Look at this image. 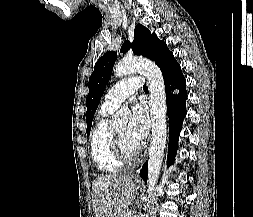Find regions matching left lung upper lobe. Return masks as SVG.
<instances>
[{"mask_svg": "<svg viewBox=\"0 0 253 217\" xmlns=\"http://www.w3.org/2000/svg\"><path fill=\"white\" fill-rule=\"evenodd\" d=\"M131 47L134 54L148 57L159 67L173 57V53L169 51L166 43L159 40L155 33L151 34L150 31L141 24H137L135 27L132 45L128 40L125 41L121 47V52L125 53ZM116 59V52L105 53L95 64L94 71L89 78V94L86 98L87 135L90 134L96 108L104 93L106 84L111 77Z\"/></svg>", "mask_w": 253, "mask_h": 217, "instance_id": "obj_1", "label": "left lung upper lobe"}]
</instances>
